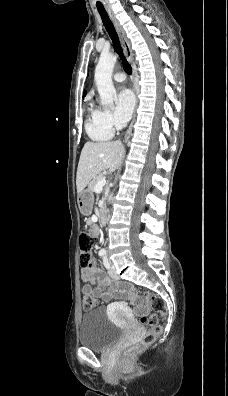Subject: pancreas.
I'll return each instance as SVG.
<instances>
[{
    "label": "pancreas",
    "instance_id": "1",
    "mask_svg": "<svg viewBox=\"0 0 228 396\" xmlns=\"http://www.w3.org/2000/svg\"><path fill=\"white\" fill-rule=\"evenodd\" d=\"M103 178L102 175H98L96 177H94L88 184V189H90L91 191H94V187L95 185Z\"/></svg>",
    "mask_w": 228,
    "mask_h": 396
}]
</instances>
